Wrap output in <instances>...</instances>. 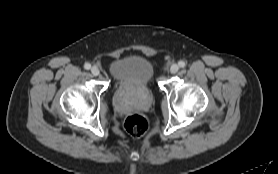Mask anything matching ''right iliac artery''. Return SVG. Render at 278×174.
Masks as SVG:
<instances>
[{"mask_svg":"<svg viewBox=\"0 0 278 174\" xmlns=\"http://www.w3.org/2000/svg\"><path fill=\"white\" fill-rule=\"evenodd\" d=\"M84 68H85L86 70H89V69L91 68V64L85 63Z\"/></svg>","mask_w":278,"mask_h":174,"instance_id":"1","label":"right iliac artery"}]
</instances>
